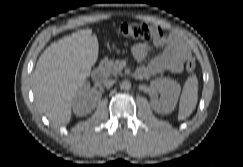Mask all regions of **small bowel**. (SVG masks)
Masks as SVG:
<instances>
[{"label":"small bowel","instance_id":"c3829d8e","mask_svg":"<svg viewBox=\"0 0 243 167\" xmlns=\"http://www.w3.org/2000/svg\"><path fill=\"white\" fill-rule=\"evenodd\" d=\"M154 45L163 48V51L148 64H144V61L150 46L142 42L133 46V56L139 63L137 76L148 79L164 72L179 73L183 68V62L190 55L187 42L178 34L160 31L154 38Z\"/></svg>","mask_w":243,"mask_h":167}]
</instances>
